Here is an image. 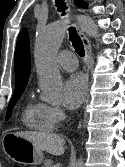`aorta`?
<instances>
[{"label":"aorta","instance_id":"obj_1","mask_svg":"<svg viewBox=\"0 0 125 167\" xmlns=\"http://www.w3.org/2000/svg\"><path fill=\"white\" fill-rule=\"evenodd\" d=\"M79 24L84 32L91 37H99L94 21L85 15L78 16ZM65 25L57 21L40 30L35 42V62L39 76L41 99L50 103H59L62 99V79L56 63V54L65 37ZM74 167H84L82 158Z\"/></svg>","mask_w":125,"mask_h":167}]
</instances>
